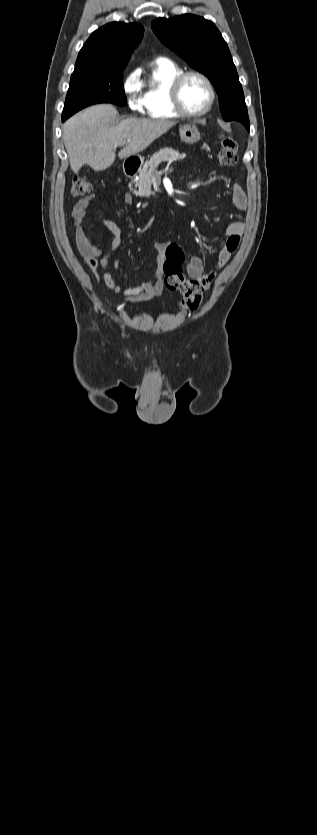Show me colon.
<instances>
[{"mask_svg":"<svg viewBox=\"0 0 317 835\" xmlns=\"http://www.w3.org/2000/svg\"><path fill=\"white\" fill-rule=\"evenodd\" d=\"M219 161L225 166H232L237 161V142L230 135L221 137ZM71 191L74 196L88 195L92 191V185L86 178L77 177L73 181ZM161 271L165 288L181 293L180 307L193 310L200 305L203 288L198 281L185 276L179 260L167 258L161 265Z\"/></svg>","mask_w":317,"mask_h":835,"instance_id":"colon-1","label":"colon"}]
</instances>
